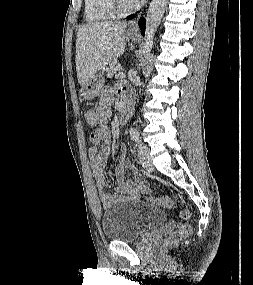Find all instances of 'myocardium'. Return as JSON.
<instances>
[{
    "instance_id": "myocardium-1",
    "label": "myocardium",
    "mask_w": 253,
    "mask_h": 285,
    "mask_svg": "<svg viewBox=\"0 0 253 285\" xmlns=\"http://www.w3.org/2000/svg\"><path fill=\"white\" fill-rule=\"evenodd\" d=\"M111 9L118 15H125L131 11H133L137 4L134 2L131 5H124L122 0H108Z\"/></svg>"
}]
</instances>
